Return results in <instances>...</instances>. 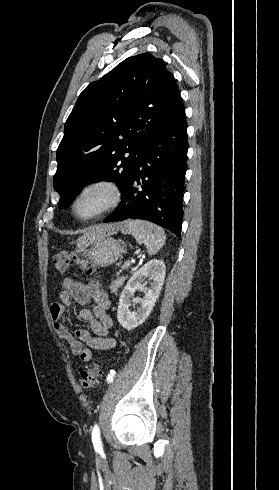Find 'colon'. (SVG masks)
Listing matches in <instances>:
<instances>
[{
    "label": "colon",
    "mask_w": 279,
    "mask_h": 490,
    "mask_svg": "<svg viewBox=\"0 0 279 490\" xmlns=\"http://www.w3.org/2000/svg\"><path fill=\"white\" fill-rule=\"evenodd\" d=\"M53 265L60 272L66 271L70 266H75L85 273H93L94 266L82 255L74 251H61L54 255ZM103 363L95 360L80 372V385L84 389H92L96 386L99 376L102 374Z\"/></svg>",
    "instance_id": "5ec220e1"
}]
</instances>
